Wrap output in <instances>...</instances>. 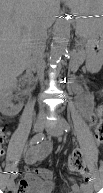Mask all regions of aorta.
Masks as SVG:
<instances>
[{
    "instance_id": "1",
    "label": "aorta",
    "mask_w": 103,
    "mask_h": 193,
    "mask_svg": "<svg viewBox=\"0 0 103 193\" xmlns=\"http://www.w3.org/2000/svg\"><path fill=\"white\" fill-rule=\"evenodd\" d=\"M70 21L66 17H61L55 25L53 41L50 49V63H59L65 53L70 39Z\"/></svg>"
}]
</instances>
